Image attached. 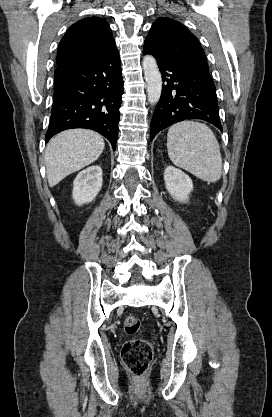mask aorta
Segmentation results:
<instances>
[{
	"label": "aorta",
	"instance_id": "obj_1",
	"mask_svg": "<svg viewBox=\"0 0 272 417\" xmlns=\"http://www.w3.org/2000/svg\"><path fill=\"white\" fill-rule=\"evenodd\" d=\"M144 75L147 82V97L151 104L157 103L162 91V78L156 62L151 55H146L143 59Z\"/></svg>",
	"mask_w": 272,
	"mask_h": 417
}]
</instances>
